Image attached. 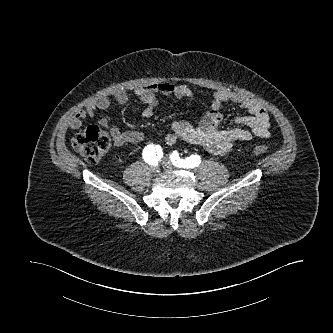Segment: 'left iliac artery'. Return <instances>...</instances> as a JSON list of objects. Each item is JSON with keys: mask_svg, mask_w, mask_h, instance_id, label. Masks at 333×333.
<instances>
[{"mask_svg": "<svg viewBox=\"0 0 333 333\" xmlns=\"http://www.w3.org/2000/svg\"><path fill=\"white\" fill-rule=\"evenodd\" d=\"M173 165L183 168H194L201 163V157L199 155H191L185 159H181L177 151H174L170 155Z\"/></svg>", "mask_w": 333, "mask_h": 333, "instance_id": "obj_1", "label": "left iliac artery"}]
</instances>
